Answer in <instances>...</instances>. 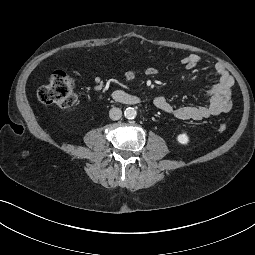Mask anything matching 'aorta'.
Here are the masks:
<instances>
[{"label":"aorta","instance_id":"762f6f07","mask_svg":"<svg viewBox=\"0 0 255 255\" xmlns=\"http://www.w3.org/2000/svg\"><path fill=\"white\" fill-rule=\"evenodd\" d=\"M124 115H125V118L131 120V119H134L136 117L137 112H136L135 108L128 107V108L125 109Z\"/></svg>","mask_w":255,"mask_h":255}]
</instances>
